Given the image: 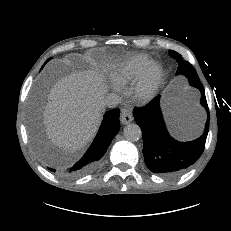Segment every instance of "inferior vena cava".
Instances as JSON below:
<instances>
[{"label":"inferior vena cava","mask_w":231,"mask_h":231,"mask_svg":"<svg viewBox=\"0 0 231 231\" xmlns=\"http://www.w3.org/2000/svg\"><path fill=\"white\" fill-rule=\"evenodd\" d=\"M119 102L120 98L115 93H109L104 98V104L110 108L115 107Z\"/></svg>","instance_id":"1"}]
</instances>
